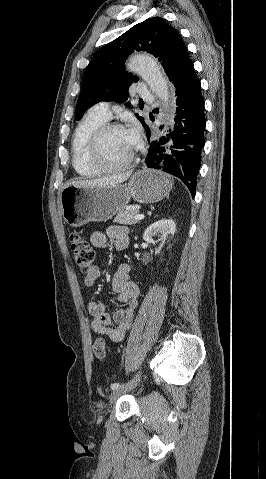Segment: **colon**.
I'll return each instance as SVG.
<instances>
[{"instance_id": "1", "label": "colon", "mask_w": 266, "mask_h": 479, "mask_svg": "<svg viewBox=\"0 0 266 479\" xmlns=\"http://www.w3.org/2000/svg\"><path fill=\"white\" fill-rule=\"evenodd\" d=\"M69 244L77 266L81 271L89 272L94 265L95 254L86 237L78 232H71ZM92 351L97 358H104L106 356V340L102 337L95 339Z\"/></svg>"}]
</instances>
